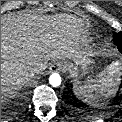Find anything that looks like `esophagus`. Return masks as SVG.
<instances>
[{"instance_id": "obj_1", "label": "esophagus", "mask_w": 122, "mask_h": 122, "mask_svg": "<svg viewBox=\"0 0 122 122\" xmlns=\"http://www.w3.org/2000/svg\"><path fill=\"white\" fill-rule=\"evenodd\" d=\"M50 72H59L63 69V64L60 62H55L50 66Z\"/></svg>"}]
</instances>
